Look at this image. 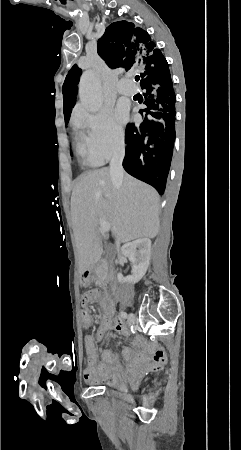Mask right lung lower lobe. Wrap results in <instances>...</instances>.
Here are the masks:
<instances>
[{
    "instance_id": "1",
    "label": "right lung lower lobe",
    "mask_w": 241,
    "mask_h": 450,
    "mask_svg": "<svg viewBox=\"0 0 241 450\" xmlns=\"http://www.w3.org/2000/svg\"><path fill=\"white\" fill-rule=\"evenodd\" d=\"M168 67L166 61L144 68L140 74L141 88L146 89V108L140 113L145 112L149 118L139 126L127 125L123 160L130 175L150 184L159 194L165 190L175 141L176 96Z\"/></svg>"
}]
</instances>
